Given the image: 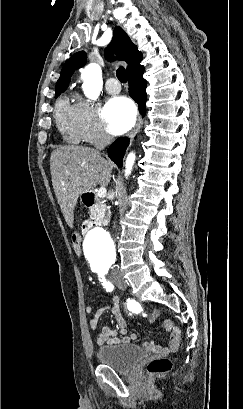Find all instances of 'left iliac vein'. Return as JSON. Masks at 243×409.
I'll use <instances>...</instances> for the list:
<instances>
[{
	"instance_id": "1",
	"label": "left iliac vein",
	"mask_w": 243,
	"mask_h": 409,
	"mask_svg": "<svg viewBox=\"0 0 243 409\" xmlns=\"http://www.w3.org/2000/svg\"><path fill=\"white\" fill-rule=\"evenodd\" d=\"M113 283L122 290L126 289V282L119 274H114L112 276Z\"/></svg>"
}]
</instances>
